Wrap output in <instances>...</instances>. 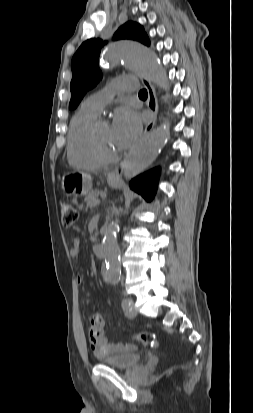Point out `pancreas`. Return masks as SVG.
<instances>
[{"instance_id": "cf45deb5", "label": "pancreas", "mask_w": 253, "mask_h": 413, "mask_svg": "<svg viewBox=\"0 0 253 413\" xmlns=\"http://www.w3.org/2000/svg\"><path fill=\"white\" fill-rule=\"evenodd\" d=\"M99 196H103V193L98 190L92 191L85 197V202L88 206H95L99 203Z\"/></svg>"}]
</instances>
